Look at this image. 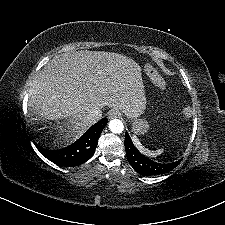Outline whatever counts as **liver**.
I'll list each match as a JSON object with an SVG mask.
<instances>
[{
	"instance_id": "obj_1",
	"label": "liver",
	"mask_w": 225,
	"mask_h": 225,
	"mask_svg": "<svg viewBox=\"0 0 225 225\" xmlns=\"http://www.w3.org/2000/svg\"><path fill=\"white\" fill-rule=\"evenodd\" d=\"M140 71L133 59L114 52L63 53L35 76L29 106L45 119L72 117L70 123L76 124L72 130L79 133L96 121V116L85 114L94 102L137 116L145 104Z\"/></svg>"
}]
</instances>
